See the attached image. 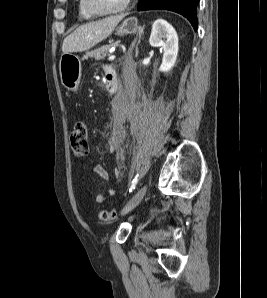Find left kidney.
I'll return each mask as SVG.
<instances>
[{
    "mask_svg": "<svg viewBox=\"0 0 267 298\" xmlns=\"http://www.w3.org/2000/svg\"><path fill=\"white\" fill-rule=\"evenodd\" d=\"M178 35L175 29L167 21L158 19L152 26L149 43L153 47L163 49L160 72H169L175 65L178 55Z\"/></svg>",
    "mask_w": 267,
    "mask_h": 298,
    "instance_id": "obj_1",
    "label": "left kidney"
}]
</instances>
